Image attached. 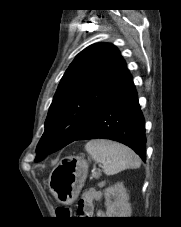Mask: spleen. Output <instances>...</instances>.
I'll list each match as a JSON object with an SVG mask.
<instances>
[{"label": "spleen", "instance_id": "3e777b00", "mask_svg": "<svg viewBox=\"0 0 181 227\" xmlns=\"http://www.w3.org/2000/svg\"><path fill=\"white\" fill-rule=\"evenodd\" d=\"M91 158L102 164L103 172L110 176L128 168H139V156L127 146L110 140H91L85 145Z\"/></svg>", "mask_w": 181, "mask_h": 227}]
</instances>
